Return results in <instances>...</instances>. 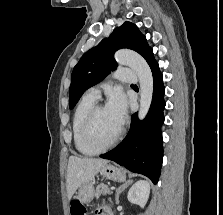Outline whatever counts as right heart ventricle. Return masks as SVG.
<instances>
[{
	"label": "right heart ventricle",
	"mask_w": 223,
	"mask_h": 215,
	"mask_svg": "<svg viewBox=\"0 0 223 215\" xmlns=\"http://www.w3.org/2000/svg\"><path fill=\"white\" fill-rule=\"evenodd\" d=\"M96 101L86 96L79 102L72 120V136L76 150L86 156H94L96 152L86 143L84 137V126L87 116L95 106Z\"/></svg>",
	"instance_id": "1"
}]
</instances>
